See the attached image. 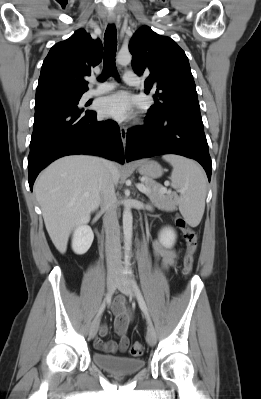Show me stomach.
<instances>
[{"label":"stomach","mask_w":261,"mask_h":399,"mask_svg":"<svg viewBox=\"0 0 261 399\" xmlns=\"http://www.w3.org/2000/svg\"><path fill=\"white\" fill-rule=\"evenodd\" d=\"M138 172L150 179L159 178L163 174V169L159 163L153 160H142L137 163Z\"/></svg>","instance_id":"stomach-1"}]
</instances>
